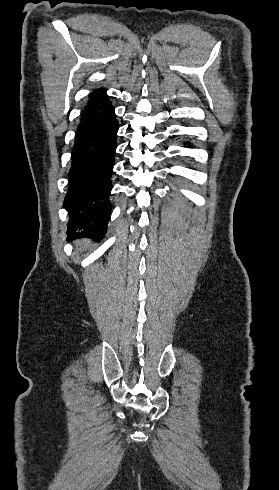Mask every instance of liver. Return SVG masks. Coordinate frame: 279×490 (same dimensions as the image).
Segmentation results:
<instances>
[{
    "label": "liver",
    "mask_w": 279,
    "mask_h": 490,
    "mask_svg": "<svg viewBox=\"0 0 279 490\" xmlns=\"http://www.w3.org/2000/svg\"><path fill=\"white\" fill-rule=\"evenodd\" d=\"M77 244H80V246H84V248H86V246L89 244V240H81V242H77Z\"/></svg>",
    "instance_id": "obj_1"
}]
</instances>
